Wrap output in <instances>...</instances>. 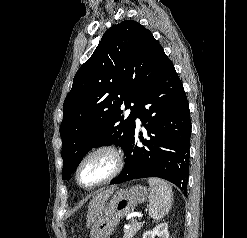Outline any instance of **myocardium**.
I'll return each mask as SVG.
<instances>
[{
    "mask_svg": "<svg viewBox=\"0 0 247 238\" xmlns=\"http://www.w3.org/2000/svg\"><path fill=\"white\" fill-rule=\"evenodd\" d=\"M100 154H105L111 157V159L113 160L112 171L110 172L108 176H106L105 178H103L102 180L94 184H91V185L83 184L79 177L81 168L89 159H91L94 156L100 155ZM123 167H124V155H123L122 150L114 144L102 143V144H99L91 148L81 157V159L77 163L75 170H74V180L79 187L85 190H91V189L102 186L110 182L111 180H113L115 177H117L120 174Z\"/></svg>",
    "mask_w": 247,
    "mask_h": 238,
    "instance_id": "f54148a6",
    "label": "myocardium"
}]
</instances>
